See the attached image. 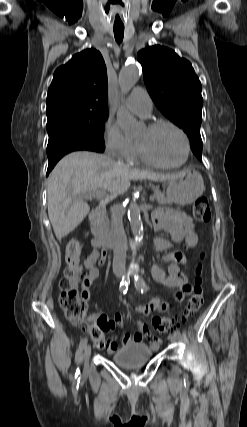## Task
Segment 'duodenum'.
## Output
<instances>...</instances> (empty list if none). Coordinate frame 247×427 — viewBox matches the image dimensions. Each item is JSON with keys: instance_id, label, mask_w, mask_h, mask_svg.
Instances as JSON below:
<instances>
[{"instance_id": "duodenum-1", "label": "duodenum", "mask_w": 247, "mask_h": 427, "mask_svg": "<svg viewBox=\"0 0 247 427\" xmlns=\"http://www.w3.org/2000/svg\"><path fill=\"white\" fill-rule=\"evenodd\" d=\"M104 213L105 208L99 206L90 213L89 220L94 241H96L99 246L109 249L112 246V241L103 224Z\"/></svg>"}]
</instances>
